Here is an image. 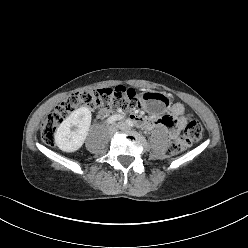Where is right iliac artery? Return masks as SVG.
Segmentation results:
<instances>
[{"mask_svg": "<svg viewBox=\"0 0 248 248\" xmlns=\"http://www.w3.org/2000/svg\"><path fill=\"white\" fill-rule=\"evenodd\" d=\"M121 119H123V117H122L121 115H113V116H111V117L108 118L107 124H108V125H109V124H112V123H114L115 121L121 120Z\"/></svg>", "mask_w": 248, "mask_h": 248, "instance_id": "obj_1", "label": "right iliac artery"}]
</instances>
